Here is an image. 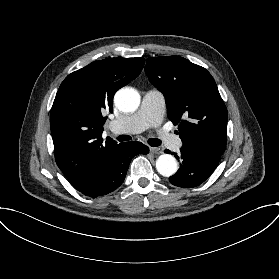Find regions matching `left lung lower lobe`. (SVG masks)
<instances>
[{
  "label": "left lung lower lobe",
  "mask_w": 279,
  "mask_h": 279,
  "mask_svg": "<svg viewBox=\"0 0 279 279\" xmlns=\"http://www.w3.org/2000/svg\"><path fill=\"white\" fill-rule=\"evenodd\" d=\"M171 153L169 150H165ZM181 154L172 152L182 163L177 173L169 178L170 182L179 187H195L204 182L215 170L220 155L198 148L180 149Z\"/></svg>",
  "instance_id": "left-lung-lower-lobe-1"
}]
</instances>
